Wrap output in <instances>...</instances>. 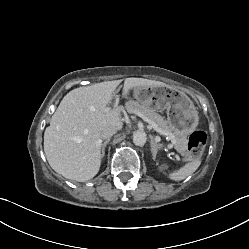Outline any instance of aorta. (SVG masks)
Masks as SVG:
<instances>
[{
  "label": "aorta",
  "mask_w": 249,
  "mask_h": 249,
  "mask_svg": "<svg viewBox=\"0 0 249 249\" xmlns=\"http://www.w3.org/2000/svg\"><path fill=\"white\" fill-rule=\"evenodd\" d=\"M147 136L144 131L137 130L133 134V142L137 146H143L146 143Z\"/></svg>",
  "instance_id": "1"
}]
</instances>
